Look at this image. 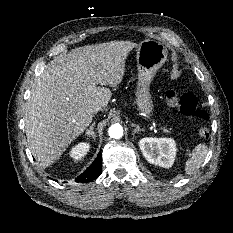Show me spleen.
I'll return each instance as SVG.
<instances>
[{
	"label": "spleen",
	"instance_id": "spleen-1",
	"mask_svg": "<svg viewBox=\"0 0 233 233\" xmlns=\"http://www.w3.org/2000/svg\"><path fill=\"white\" fill-rule=\"evenodd\" d=\"M208 153V146L205 144H198L191 153L190 158L185 164V173L187 175L194 174L204 163Z\"/></svg>",
	"mask_w": 233,
	"mask_h": 233
}]
</instances>
